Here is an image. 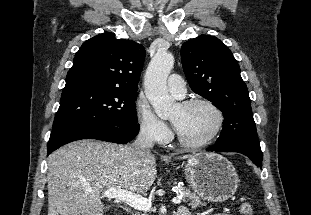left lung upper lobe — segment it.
<instances>
[{
  "instance_id": "1",
  "label": "left lung upper lobe",
  "mask_w": 311,
  "mask_h": 215,
  "mask_svg": "<svg viewBox=\"0 0 311 215\" xmlns=\"http://www.w3.org/2000/svg\"><path fill=\"white\" fill-rule=\"evenodd\" d=\"M181 58L191 89L223 113L216 144L235 139L258 141L248 89L230 49L214 36L201 35L182 45Z\"/></svg>"
}]
</instances>
